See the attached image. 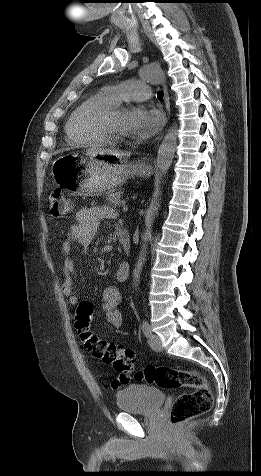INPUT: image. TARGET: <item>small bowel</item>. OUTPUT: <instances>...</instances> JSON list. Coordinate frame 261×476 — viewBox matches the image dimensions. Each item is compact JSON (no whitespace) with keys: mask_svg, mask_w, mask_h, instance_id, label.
I'll list each match as a JSON object with an SVG mask.
<instances>
[{"mask_svg":"<svg viewBox=\"0 0 261 476\" xmlns=\"http://www.w3.org/2000/svg\"><path fill=\"white\" fill-rule=\"evenodd\" d=\"M114 209L108 206H94L80 209L75 215V222L70 226L66 239L62 243L64 261L62 266V291L69 298L71 305H78L79 297L73 293L75 269L70 257L73 244H79L87 249L93 242L101 221L116 217ZM129 267L121 263L116 271V280L124 282L128 277ZM103 311L107 322L114 328H121L124 316L120 309L122 293L117 285L107 286L103 291Z\"/></svg>","mask_w":261,"mask_h":476,"instance_id":"c3829d8e","label":"small bowel"}]
</instances>
